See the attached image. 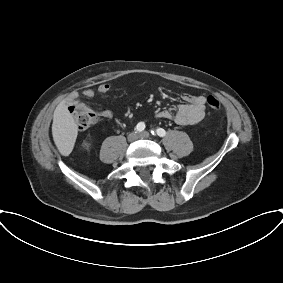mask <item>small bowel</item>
Segmentation results:
<instances>
[{"mask_svg":"<svg viewBox=\"0 0 283 283\" xmlns=\"http://www.w3.org/2000/svg\"><path fill=\"white\" fill-rule=\"evenodd\" d=\"M110 88L109 84L102 83L97 87V93L106 94L110 91ZM95 94L96 92L93 89L86 88L82 90L81 97L77 94H72L71 101L75 104L85 105V101L93 99ZM181 98L184 103L177 107L175 115L169 110H162L158 112L157 116L161 119H174L180 125H195L199 123L205 116L206 98L203 95L189 93H183ZM99 115L107 120H111L114 116L110 110H103L99 112Z\"/></svg>","mask_w":283,"mask_h":283,"instance_id":"small-bowel-1","label":"small bowel"}]
</instances>
